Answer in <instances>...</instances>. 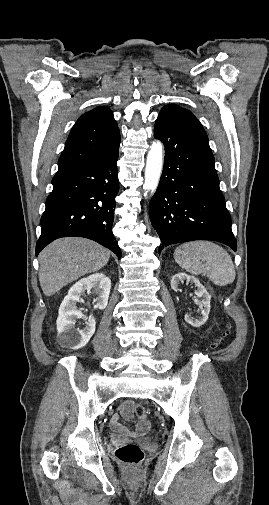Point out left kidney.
Masks as SVG:
<instances>
[{"label": "left kidney", "mask_w": 269, "mask_h": 505, "mask_svg": "<svg viewBox=\"0 0 269 505\" xmlns=\"http://www.w3.org/2000/svg\"><path fill=\"white\" fill-rule=\"evenodd\" d=\"M184 280H186L188 283L191 282L195 285V287H196L195 294L197 295V297L202 299L199 302V305L201 308V311H200L201 316L196 319V318H193L190 314H185L184 319L191 326L200 327L203 324H205L206 321L208 320V316H209V312H210L211 296L207 292L205 287L200 283L198 278H196L195 276H190V275L183 273V272H179L172 277V280H171L172 290L178 291L179 284L181 282H183Z\"/></svg>", "instance_id": "obj_1"}]
</instances>
